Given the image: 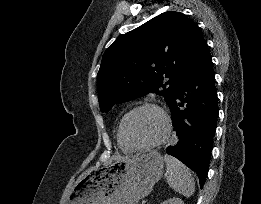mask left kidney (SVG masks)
<instances>
[{"label": "left kidney", "mask_w": 261, "mask_h": 204, "mask_svg": "<svg viewBox=\"0 0 261 204\" xmlns=\"http://www.w3.org/2000/svg\"><path fill=\"white\" fill-rule=\"evenodd\" d=\"M160 204H184V202L179 199V198H171V199H168Z\"/></svg>", "instance_id": "left-kidney-1"}]
</instances>
